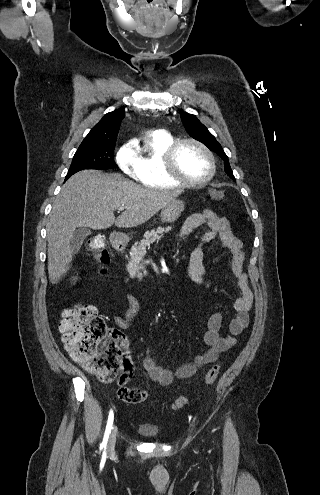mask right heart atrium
<instances>
[{
  "mask_svg": "<svg viewBox=\"0 0 320 495\" xmlns=\"http://www.w3.org/2000/svg\"><path fill=\"white\" fill-rule=\"evenodd\" d=\"M120 169L130 177L139 179V156L132 141L125 142L116 154Z\"/></svg>",
  "mask_w": 320,
  "mask_h": 495,
  "instance_id": "d8ad5b80",
  "label": "right heart atrium"
}]
</instances>
